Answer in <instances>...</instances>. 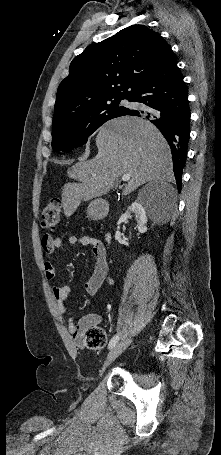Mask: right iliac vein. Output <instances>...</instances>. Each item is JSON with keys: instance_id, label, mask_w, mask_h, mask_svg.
Listing matches in <instances>:
<instances>
[{"instance_id": "obj_1", "label": "right iliac vein", "mask_w": 221, "mask_h": 455, "mask_svg": "<svg viewBox=\"0 0 221 455\" xmlns=\"http://www.w3.org/2000/svg\"><path fill=\"white\" fill-rule=\"evenodd\" d=\"M131 339L127 338L120 341L108 354L102 369L100 370V374L102 375L105 369L130 345Z\"/></svg>"}]
</instances>
